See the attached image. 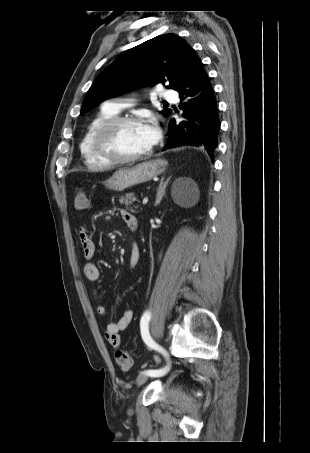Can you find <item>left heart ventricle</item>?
Returning a JSON list of instances; mask_svg holds the SVG:
<instances>
[{
	"label": "left heart ventricle",
	"mask_w": 310,
	"mask_h": 453,
	"mask_svg": "<svg viewBox=\"0 0 310 453\" xmlns=\"http://www.w3.org/2000/svg\"><path fill=\"white\" fill-rule=\"evenodd\" d=\"M111 151L129 157L147 151L150 146L143 134L142 124H128L118 128L109 142Z\"/></svg>",
	"instance_id": "obj_1"
}]
</instances>
